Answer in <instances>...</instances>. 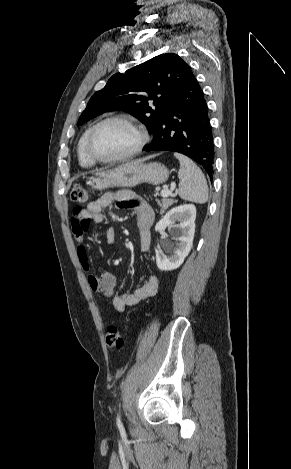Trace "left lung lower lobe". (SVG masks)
Here are the masks:
<instances>
[{
    "label": "left lung lower lobe",
    "instance_id": "1",
    "mask_svg": "<svg viewBox=\"0 0 291 469\" xmlns=\"http://www.w3.org/2000/svg\"><path fill=\"white\" fill-rule=\"evenodd\" d=\"M144 151L182 153L214 174V141L204 94L193 73L169 103L151 144Z\"/></svg>",
    "mask_w": 291,
    "mask_h": 469
}]
</instances>
